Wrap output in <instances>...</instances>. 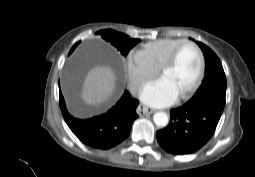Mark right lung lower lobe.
<instances>
[{"label":"right lung lower lobe","mask_w":255,"mask_h":177,"mask_svg":"<svg viewBox=\"0 0 255 177\" xmlns=\"http://www.w3.org/2000/svg\"><path fill=\"white\" fill-rule=\"evenodd\" d=\"M138 104V100L131 98L129 92L125 91L106 114L77 119L67 111L60 91V108L67 125L82 143L95 149H111L128 137L132 123L138 117Z\"/></svg>","instance_id":"1"}]
</instances>
